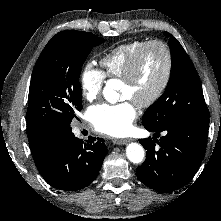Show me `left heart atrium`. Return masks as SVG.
I'll list each match as a JSON object with an SVG mask.
<instances>
[{"label":"left heart atrium","mask_w":221,"mask_h":221,"mask_svg":"<svg viewBox=\"0 0 221 221\" xmlns=\"http://www.w3.org/2000/svg\"><path fill=\"white\" fill-rule=\"evenodd\" d=\"M137 104L131 99L117 104H99L90 108L89 118L96 130L110 136L130 131L137 117Z\"/></svg>","instance_id":"39dd6f15"}]
</instances>
